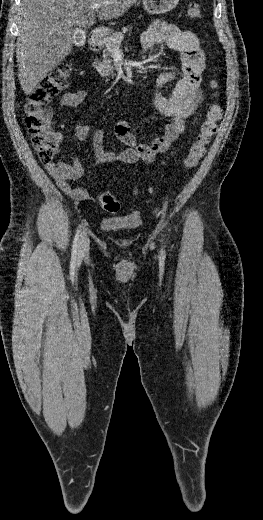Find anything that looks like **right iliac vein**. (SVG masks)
<instances>
[{"label": "right iliac vein", "mask_w": 263, "mask_h": 520, "mask_svg": "<svg viewBox=\"0 0 263 520\" xmlns=\"http://www.w3.org/2000/svg\"><path fill=\"white\" fill-rule=\"evenodd\" d=\"M89 237L85 232L82 233L80 243H79V249L78 254L80 256H85L88 254L89 251Z\"/></svg>", "instance_id": "obj_1"}]
</instances>
